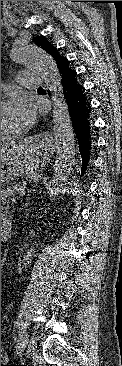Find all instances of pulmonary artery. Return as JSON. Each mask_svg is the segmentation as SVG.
Wrapping results in <instances>:
<instances>
[{
  "label": "pulmonary artery",
  "mask_w": 122,
  "mask_h": 366,
  "mask_svg": "<svg viewBox=\"0 0 122 366\" xmlns=\"http://www.w3.org/2000/svg\"><path fill=\"white\" fill-rule=\"evenodd\" d=\"M16 79L23 86L30 89H37L43 86V79L40 73L30 69L20 70L16 74Z\"/></svg>",
  "instance_id": "1"
}]
</instances>
